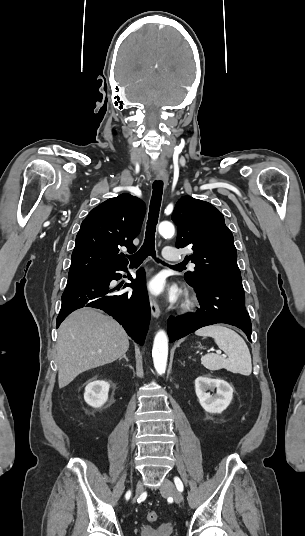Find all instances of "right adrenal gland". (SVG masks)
I'll return each mask as SVG.
<instances>
[{"label":"right adrenal gland","instance_id":"2a0ac1e0","mask_svg":"<svg viewBox=\"0 0 305 536\" xmlns=\"http://www.w3.org/2000/svg\"><path fill=\"white\" fill-rule=\"evenodd\" d=\"M122 358H124V360H126V362H129V360H128L126 354H125V356H122ZM122 358H119V360H122Z\"/></svg>","mask_w":305,"mask_h":536}]
</instances>
